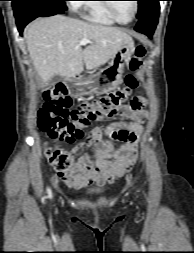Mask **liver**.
<instances>
[{"label":"liver","mask_w":194,"mask_h":253,"mask_svg":"<svg viewBox=\"0 0 194 253\" xmlns=\"http://www.w3.org/2000/svg\"><path fill=\"white\" fill-rule=\"evenodd\" d=\"M24 36L43 83L55 75L75 77L84 65L89 70L104 65L124 44L134 45L132 37L119 28L64 15L36 19L25 28ZM83 38L91 41L85 49L80 43Z\"/></svg>","instance_id":"1"}]
</instances>
